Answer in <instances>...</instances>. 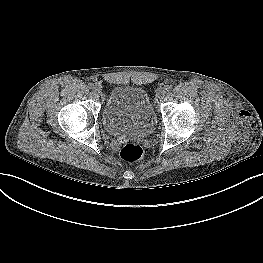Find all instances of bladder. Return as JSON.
<instances>
[{"label": "bladder", "instance_id": "bladder-1", "mask_svg": "<svg viewBox=\"0 0 263 263\" xmlns=\"http://www.w3.org/2000/svg\"><path fill=\"white\" fill-rule=\"evenodd\" d=\"M155 112L146 92L139 87L116 85L104 104L101 121L114 136H147L155 126Z\"/></svg>", "mask_w": 263, "mask_h": 263}]
</instances>
